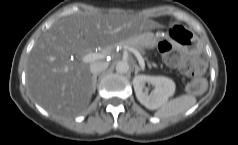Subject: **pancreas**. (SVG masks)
Returning <instances> with one entry per match:
<instances>
[{"mask_svg":"<svg viewBox=\"0 0 238 145\" xmlns=\"http://www.w3.org/2000/svg\"><path fill=\"white\" fill-rule=\"evenodd\" d=\"M127 44L128 47H132L135 48L136 50L140 51L142 54H145V44L142 42V40L138 37L132 38L131 40H127L125 42ZM114 47H112L111 49H113ZM145 60H147V58H145ZM150 66V63H148Z\"/></svg>","mask_w":238,"mask_h":145,"instance_id":"cf45deb5","label":"pancreas"}]
</instances>
